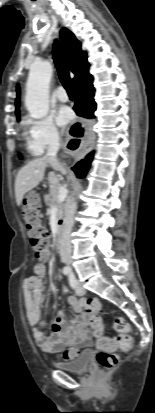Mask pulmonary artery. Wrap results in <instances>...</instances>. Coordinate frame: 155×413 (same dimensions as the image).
I'll return each mask as SVG.
<instances>
[{"label": "pulmonary artery", "mask_w": 155, "mask_h": 413, "mask_svg": "<svg viewBox=\"0 0 155 413\" xmlns=\"http://www.w3.org/2000/svg\"><path fill=\"white\" fill-rule=\"evenodd\" d=\"M56 96L62 102H66L68 100V94L63 87L57 88Z\"/></svg>", "instance_id": "1"}]
</instances>
